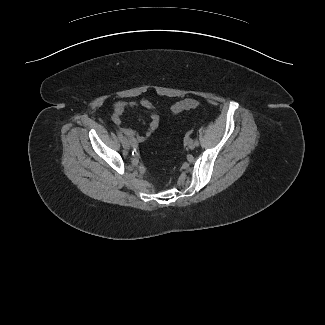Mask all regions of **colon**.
<instances>
[{"label": "colon", "instance_id": "5ec220e1", "mask_svg": "<svg viewBox=\"0 0 325 325\" xmlns=\"http://www.w3.org/2000/svg\"><path fill=\"white\" fill-rule=\"evenodd\" d=\"M200 105V102L194 99H185L177 102L172 106L171 111L173 114H177L181 111L196 108Z\"/></svg>", "mask_w": 325, "mask_h": 325}]
</instances>
